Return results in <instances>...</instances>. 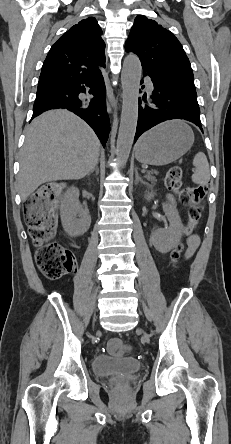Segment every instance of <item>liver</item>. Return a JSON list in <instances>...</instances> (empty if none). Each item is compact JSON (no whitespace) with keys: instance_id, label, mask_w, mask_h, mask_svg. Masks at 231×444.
<instances>
[{"instance_id":"liver-1","label":"liver","mask_w":231,"mask_h":444,"mask_svg":"<svg viewBox=\"0 0 231 444\" xmlns=\"http://www.w3.org/2000/svg\"><path fill=\"white\" fill-rule=\"evenodd\" d=\"M25 136L17 179L22 200L43 183L83 178L98 162L99 139L68 110L43 113L27 127Z\"/></svg>"}]
</instances>
